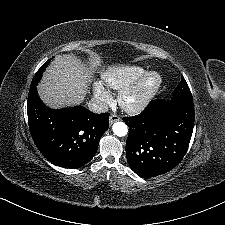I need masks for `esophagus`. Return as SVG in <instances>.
Instances as JSON below:
<instances>
[{"mask_svg": "<svg viewBox=\"0 0 225 225\" xmlns=\"http://www.w3.org/2000/svg\"><path fill=\"white\" fill-rule=\"evenodd\" d=\"M120 120V117L116 114H111L110 118H109V123L110 125H112L113 123L117 122Z\"/></svg>", "mask_w": 225, "mask_h": 225, "instance_id": "esophagus-1", "label": "esophagus"}]
</instances>
